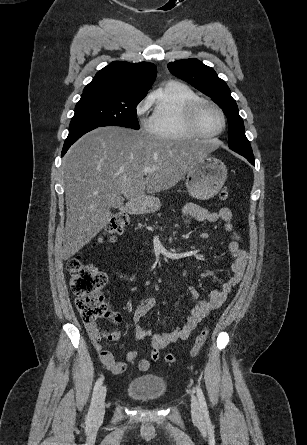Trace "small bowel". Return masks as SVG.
<instances>
[{"instance_id": "obj_1", "label": "small bowel", "mask_w": 307, "mask_h": 445, "mask_svg": "<svg viewBox=\"0 0 307 445\" xmlns=\"http://www.w3.org/2000/svg\"><path fill=\"white\" fill-rule=\"evenodd\" d=\"M183 213L194 218L196 221L207 223L222 221L225 224V229L232 236V240L228 244V251L233 258L231 275L220 289L210 292L207 299H200L198 292L193 287H189V292L195 300V305L191 309L185 324L171 332L152 333L147 330L141 321L145 315L155 307L156 301L153 298H145L140 301L132 317L135 334L139 339L149 338L151 341L149 358L141 359L137 363L138 370L142 372L148 370L150 362H155L159 359L160 351L163 348L176 341L186 340L211 311L223 305L228 294L242 280L247 265L248 250L243 246L240 235L233 228V213L229 208L224 207L219 211H209L197 204L188 203L183 207ZM117 274L119 277L127 280L134 278V274L126 270H118ZM86 329L101 362L112 373L122 374L126 370L127 363L116 360L113 354L108 351L102 343L103 339H109L111 332L98 329L95 323L87 324ZM136 356V351H130L127 353L126 361L132 362Z\"/></svg>"}]
</instances>
